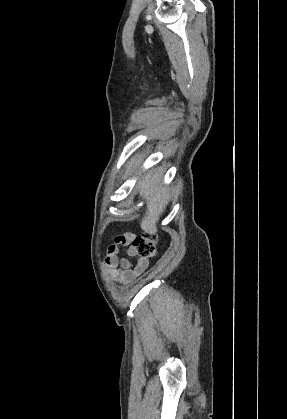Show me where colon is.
Listing matches in <instances>:
<instances>
[{
    "label": "colon",
    "instance_id": "colon-1",
    "mask_svg": "<svg viewBox=\"0 0 287 419\" xmlns=\"http://www.w3.org/2000/svg\"><path fill=\"white\" fill-rule=\"evenodd\" d=\"M131 248L143 259L152 258L157 253L156 237L148 234L135 236L131 241Z\"/></svg>",
    "mask_w": 287,
    "mask_h": 419
}]
</instances>
